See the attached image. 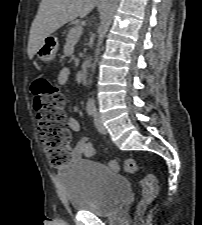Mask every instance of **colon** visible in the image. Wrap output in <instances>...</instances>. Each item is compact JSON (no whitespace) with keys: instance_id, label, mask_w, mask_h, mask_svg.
<instances>
[{"instance_id":"colon-1","label":"colon","mask_w":202,"mask_h":225,"mask_svg":"<svg viewBox=\"0 0 202 225\" xmlns=\"http://www.w3.org/2000/svg\"><path fill=\"white\" fill-rule=\"evenodd\" d=\"M35 97V126L40 141L50 162L60 170L70 164L71 131L64 114V97L56 84L42 75L32 83ZM109 165L118 170L120 163L111 160ZM123 169L127 173H135L138 169L137 161L129 158L123 162ZM141 198L137 205V215L140 216L158 196L159 188L156 178L147 174L139 182Z\"/></svg>"}]
</instances>
